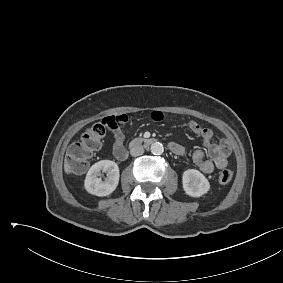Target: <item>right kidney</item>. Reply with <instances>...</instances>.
Instances as JSON below:
<instances>
[{"instance_id": "right-kidney-1", "label": "right kidney", "mask_w": 283, "mask_h": 283, "mask_svg": "<svg viewBox=\"0 0 283 283\" xmlns=\"http://www.w3.org/2000/svg\"><path fill=\"white\" fill-rule=\"evenodd\" d=\"M101 172H106L107 177L102 180ZM118 165L111 160H101L89 169L85 178V189L88 193L103 197L110 195L117 187L119 182Z\"/></svg>"}]
</instances>
